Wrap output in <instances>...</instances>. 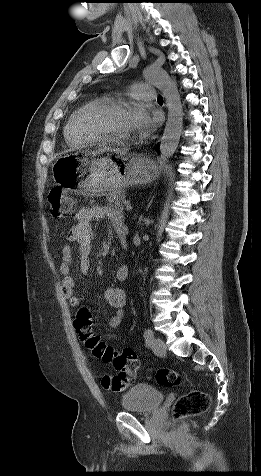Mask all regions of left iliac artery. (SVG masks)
<instances>
[{
  "instance_id": "1",
  "label": "left iliac artery",
  "mask_w": 261,
  "mask_h": 476,
  "mask_svg": "<svg viewBox=\"0 0 261 476\" xmlns=\"http://www.w3.org/2000/svg\"><path fill=\"white\" fill-rule=\"evenodd\" d=\"M144 338H145V342L147 345H150V343L152 342V340L154 339V333L151 329L147 328L144 332Z\"/></svg>"
}]
</instances>
